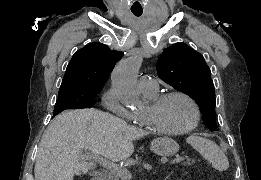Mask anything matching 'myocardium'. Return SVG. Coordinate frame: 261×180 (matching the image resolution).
<instances>
[{"label":"myocardium","instance_id":"myocardium-1","mask_svg":"<svg viewBox=\"0 0 261 180\" xmlns=\"http://www.w3.org/2000/svg\"><path fill=\"white\" fill-rule=\"evenodd\" d=\"M176 96L184 98L191 104V106L194 110L193 121L191 122L189 127L182 132L174 133V134L159 135L157 133V131L151 125L142 121L140 118H138L136 116V123H137L138 127L144 132V134L148 138L160 136V137L168 138V139H182L196 129V127L198 126V124L201 120V109H200L198 102L195 100V98H193L188 93H186L184 91H180V90H172V91H168L165 93H158L153 97H146V99L148 102V107L150 109H154L158 106H161L168 98L176 97Z\"/></svg>","mask_w":261,"mask_h":180}]
</instances>
